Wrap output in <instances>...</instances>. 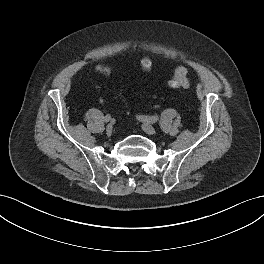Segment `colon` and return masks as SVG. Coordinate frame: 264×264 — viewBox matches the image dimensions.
<instances>
[{"mask_svg":"<svg viewBox=\"0 0 264 264\" xmlns=\"http://www.w3.org/2000/svg\"><path fill=\"white\" fill-rule=\"evenodd\" d=\"M140 67L143 71H150L152 68V60L150 58H143L140 61ZM96 69L98 72L104 75H110L111 73V69L106 65H99ZM187 76V69L184 67H179L176 69L174 76L167 81V85L173 89L188 88L189 81Z\"/></svg>","mask_w":264,"mask_h":264,"instance_id":"1","label":"colon"}]
</instances>
